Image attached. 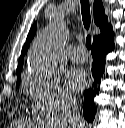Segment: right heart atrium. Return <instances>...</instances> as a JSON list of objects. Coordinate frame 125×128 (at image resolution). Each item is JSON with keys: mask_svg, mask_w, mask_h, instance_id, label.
Masks as SVG:
<instances>
[{"mask_svg": "<svg viewBox=\"0 0 125 128\" xmlns=\"http://www.w3.org/2000/svg\"><path fill=\"white\" fill-rule=\"evenodd\" d=\"M24 88L33 108L39 112L53 113L72 103V98L54 75L29 72L24 80Z\"/></svg>", "mask_w": 125, "mask_h": 128, "instance_id": "obj_1", "label": "right heart atrium"}]
</instances>
